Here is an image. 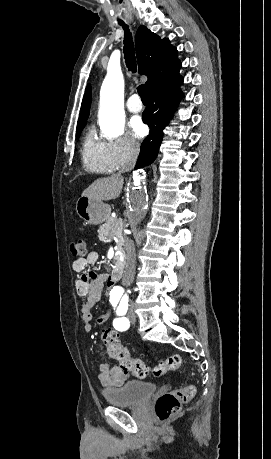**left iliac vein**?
Returning a JSON list of instances; mask_svg holds the SVG:
<instances>
[{"mask_svg":"<svg viewBox=\"0 0 271 459\" xmlns=\"http://www.w3.org/2000/svg\"><path fill=\"white\" fill-rule=\"evenodd\" d=\"M127 316H128V319L130 320V322H132V323L135 322V315H134V312H133L132 309L129 310Z\"/></svg>","mask_w":271,"mask_h":459,"instance_id":"4c4485c4","label":"left iliac vein"}]
</instances>
